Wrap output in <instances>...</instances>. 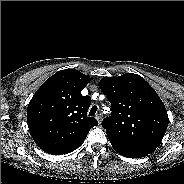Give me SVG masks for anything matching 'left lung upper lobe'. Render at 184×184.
Returning <instances> with one entry per match:
<instances>
[{
  "label": "left lung upper lobe",
  "instance_id": "5c2ea615",
  "mask_svg": "<svg viewBox=\"0 0 184 184\" xmlns=\"http://www.w3.org/2000/svg\"><path fill=\"white\" fill-rule=\"evenodd\" d=\"M100 88L111 104L102 126L110 140L152 153L168 127L166 108L156 91L139 75L103 77Z\"/></svg>",
  "mask_w": 184,
  "mask_h": 184
}]
</instances>
